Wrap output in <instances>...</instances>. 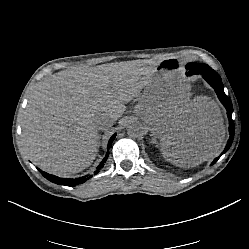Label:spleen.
Returning a JSON list of instances; mask_svg holds the SVG:
<instances>
[{
    "label": "spleen",
    "instance_id": "3e777b00",
    "mask_svg": "<svg viewBox=\"0 0 249 249\" xmlns=\"http://www.w3.org/2000/svg\"><path fill=\"white\" fill-rule=\"evenodd\" d=\"M161 151H162V154H163L164 157L168 156V151H169L168 146L163 145V146L161 147Z\"/></svg>",
    "mask_w": 249,
    "mask_h": 249
}]
</instances>
